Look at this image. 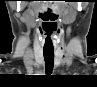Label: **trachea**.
<instances>
[{"label": "trachea", "instance_id": "trachea-1", "mask_svg": "<svg viewBox=\"0 0 97 87\" xmlns=\"http://www.w3.org/2000/svg\"><path fill=\"white\" fill-rule=\"evenodd\" d=\"M45 60V72L51 74L54 67V50H45L43 52Z\"/></svg>", "mask_w": 97, "mask_h": 87}]
</instances>
